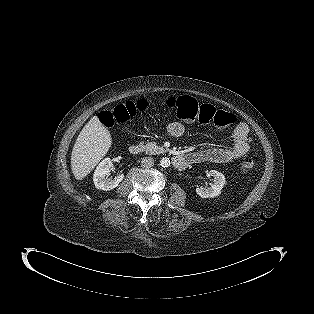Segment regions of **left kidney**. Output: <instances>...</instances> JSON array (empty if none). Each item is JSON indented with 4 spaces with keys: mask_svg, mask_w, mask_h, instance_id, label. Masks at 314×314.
I'll return each instance as SVG.
<instances>
[{
    "mask_svg": "<svg viewBox=\"0 0 314 314\" xmlns=\"http://www.w3.org/2000/svg\"><path fill=\"white\" fill-rule=\"evenodd\" d=\"M210 173L214 177V183L208 188L203 186L196 188V193L202 198H214L219 196L225 185V176L221 172L211 170Z\"/></svg>",
    "mask_w": 314,
    "mask_h": 314,
    "instance_id": "5707ae66",
    "label": "left kidney"
}]
</instances>
